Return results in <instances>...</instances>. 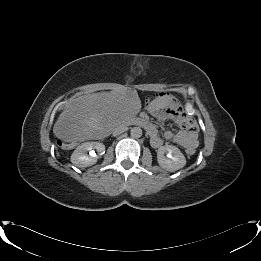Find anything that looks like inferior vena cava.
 <instances>
[{
    "instance_id": "inferior-vena-cava-1",
    "label": "inferior vena cava",
    "mask_w": 261,
    "mask_h": 261,
    "mask_svg": "<svg viewBox=\"0 0 261 261\" xmlns=\"http://www.w3.org/2000/svg\"><path fill=\"white\" fill-rule=\"evenodd\" d=\"M128 127L125 126V125H120L118 127H116L114 130H113V135L116 136V135H119L125 131H127Z\"/></svg>"
}]
</instances>
